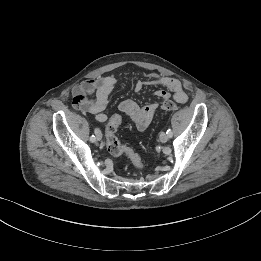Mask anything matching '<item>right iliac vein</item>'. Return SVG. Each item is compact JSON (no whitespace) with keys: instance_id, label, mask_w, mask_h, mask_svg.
Segmentation results:
<instances>
[{"instance_id":"63e3f726","label":"right iliac vein","mask_w":261,"mask_h":261,"mask_svg":"<svg viewBox=\"0 0 261 261\" xmlns=\"http://www.w3.org/2000/svg\"><path fill=\"white\" fill-rule=\"evenodd\" d=\"M95 134H96V139H97L98 141H100V140L102 139V133H101V131H100L99 129H97V131L95 132Z\"/></svg>"}]
</instances>
